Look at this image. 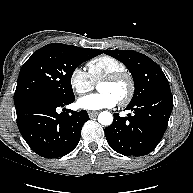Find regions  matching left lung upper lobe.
<instances>
[{"label": "left lung upper lobe", "mask_w": 193, "mask_h": 193, "mask_svg": "<svg viewBox=\"0 0 193 193\" xmlns=\"http://www.w3.org/2000/svg\"><path fill=\"white\" fill-rule=\"evenodd\" d=\"M103 52L122 62L131 72L135 92L129 104L136 103L159 87L169 84L161 68L144 54L133 50H104Z\"/></svg>", "instance_id": "1"}]
</instances>
